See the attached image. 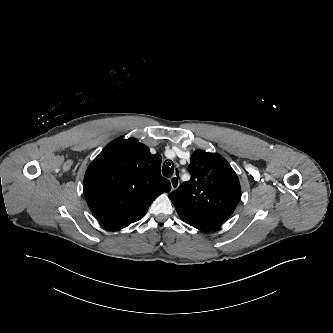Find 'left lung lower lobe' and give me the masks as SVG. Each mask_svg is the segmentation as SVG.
<instances>
[{
	"label": "left lung lower lobe",
	"mask_w": 333,
	"mask_h": 333,
	"mask_svg": "<svg viewBox=\"0 0 333 333\" xmlns=\"http://www.w3.org/2000/svg\"><path fill=\"white\" fill-rule=\"evenodd\" d=\"M174 206L185 223L203 231L214 229L223 224L235 209L229 205L193 207L178 203Z\"/></svg>",
	"instance_id": "0a47b994"
}]
</instances>
